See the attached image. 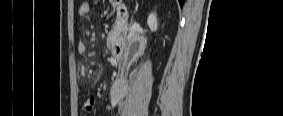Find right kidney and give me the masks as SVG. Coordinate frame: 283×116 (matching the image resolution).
Wrapping results in <instances>:
<instances>
[{"instance_id": "obj_1", "label": "right kidney", "mask_w": 283, "mask_h": 116, "mask_svg": "<svg viewBox=\"0 0 283 116\" xmlns=\"http://www.w3.org/2000/svg\"><path fill=\"white\" fill-rule=\"evenodd\" d=\"M147 24L151 31L155 32L157 30V17L155 13H151L148 16ZM147 39L141 35H135L130 39V52L133 54L134 58H138L143 55L144 50L146 48Z\"/></svg>"}]
</instances>
